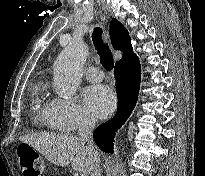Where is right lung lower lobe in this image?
<instances>
[{
    "instance_id": "right-lung-lower-lobe-1",
    "label": "right lung lower lobe",
    "mask_w": 205,
    "mask_h": 176,
    "mask_svg": "<svg viewBox=\"0 0 205 176\" xmlns=\"http://www.w3.org/2000/svg\"><path fill=\"white\" fill-rule=\"evenodd\" d=\"M117 76L118 107L115 116L100 125L93 133L94 141L106 153H113L115 132L124 124L134 109L139 92L141 69L138 57L118 62Z\"/></svg>"
}]
</instances>
